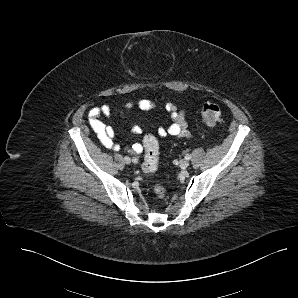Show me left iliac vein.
<instances>
[{"instance_id": "1", "label": "left iliac vein", "mask_w": 298, "mask_h": 298, "mask_svg": "<svg viewBox=\"0 0 298 298\" xmlns=\"http://www.w3.org/2000/svg\"><path fill=\"white\" fill-rule=\"evenodd\" d=\"M179 164L182 169H186L189 166V161L187 159H183Z\"/></svg>"}]
</instances>
